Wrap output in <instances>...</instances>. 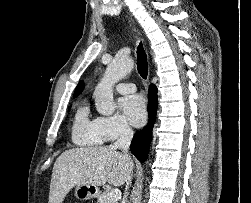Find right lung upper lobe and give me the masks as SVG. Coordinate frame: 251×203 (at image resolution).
I'll return each mask as SVG.
<instances>
[{
    "label": "right lung upper lobe",
    "instance_id": "1",
    "mask_svg": "<svg viewBox=\"0 0 251 203\" xmlns=\"http://www.w3.org/2000/svg\"><path fill=\"white\" fill-rule=\"evenodd\" d=\"M83 89H84V83L81 81L79 82V84L75 89L74 98L77 97L83 91Z\"/></svg>",
    "mask_w": 251,
    "mask_h": 203
}]
</instances>
